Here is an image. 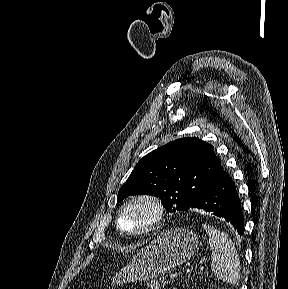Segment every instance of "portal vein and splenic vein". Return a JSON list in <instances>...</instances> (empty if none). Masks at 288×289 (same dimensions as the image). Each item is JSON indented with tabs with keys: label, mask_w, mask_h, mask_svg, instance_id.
<instances>
[{
	"label": "portal vein and splenic vein",
	"mask_w": 288,
	"mask_h": 289,
	"mask_svg": "<svg viewBox=\"0 0 288 289\" xmlns=\"http://www.w3.org/2000/svg\"><path fill=\"white\" fill-rule=\"evenodd\" d=\"M178 273L179 271H175L173 274L170 275V279H173L175 276H177Z\"/></svg>",
	"instance_id": "portal-vein-and-splenic-vein-1"
}]
</instances>
